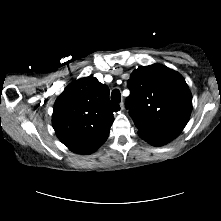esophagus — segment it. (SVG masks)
Wrapping results in <instances>:
<instances>
[{"instance_id":"1","label":"esophagus","mask_w":221,"mask_h":221,"mask_svg":"<svg viewBox=\"0 0 221 221\" xmlns=\"http://www.w3.org/2000/svg\"><path fill=\"white\" fill-rule=\"evenodd\" d=\"M120 108H121V110H124V109H125L123 102L120 103Z\"/></svg>"}]
</instances>
